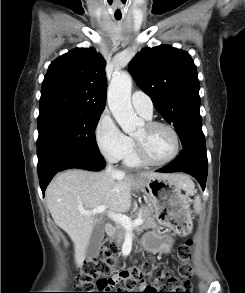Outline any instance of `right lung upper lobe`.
Returning <instances> with one entry per match:
<instances>
[{"label": "right lung upper lobe", "instance_id": "1", "mask_svg": "<svg viewBox=\"0 0 245 293\" xmlns=\"http://www.w3.org/2000/svg\"><path fill=\"white\" fill-rule=\"evenodd\" d=\"M105 60L95 49L77 48L48 68L39 112L50 109L102 113L106 101Z\"/></svg>", "mask_w": 245, "mask_h": 293}]
</instances>
